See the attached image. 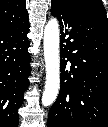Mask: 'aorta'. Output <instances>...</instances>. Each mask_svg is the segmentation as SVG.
Wrapping results in <instances>:
<instances>
[{
    "mask_svg": "<svg viewBox=\"0 0 108 127\" xmlns=\"http://www.w3.org/2000/svg\"><path fill=\"white\" fill-rule=\"evenodd\" d=\"M59 24L55 18L48 21L44 29V58L46 63V83L42 105L50 106L56 100L60 86Z\"/></svg>",
    "mask_w": 108,
    "mask_h": 127,
    "instance_id": "aorta-1",
    "label": "aorta"
}]
</instances>
